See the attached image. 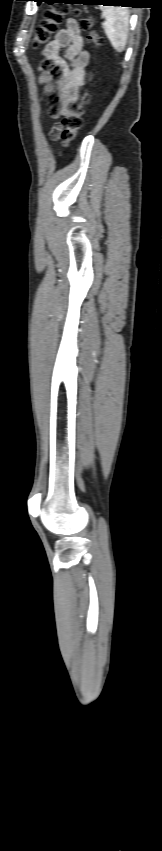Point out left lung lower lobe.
I'll list each match as a JSON object with an SVG mask.
<instances>
[{
  "instance_id": "obj_1",
  "label": "left lung lower lobe",
  "mask_w": 162,
  "mask_h": 851,
  "mask_svg": "<svg viewBox=\"0 0 162 851\" xmlns=\"http://www.w3.org/2000/svg\"><path fill=\"white\" fill-rule=\"evenodd\" d=\"M42 1L50 3V4L55 3V0H37L38 3L42 2ZM92 1L96 2V3L103 2L104 5L105 4L121 5L122 7L125 6V4H131L133 2L132 0H92ZM80 2L81 1L77 2V0H74V1L66 2V3H73L74 4V3H80Z\"/></svg>"
}]
</instances>
